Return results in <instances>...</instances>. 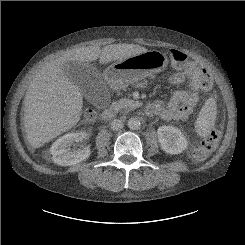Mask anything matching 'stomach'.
Returning a JSON list of instances; mask_svg holds the SVG:
<instances>
[{
    "mask_svg": "<svg viewBox=\"0 0 245 245\" xmlns=\"http://www.w3.org/2000/svg\"><path fill=\"white\" fill-rule=\"evenodd\" d=\"M167 65L168 59L162 52L149 50L113 63L105 70L104 79L111 88L119 90L163 71Z\"/></svg>",
    "mask_w": 245,
    "mask_h": 245,
    "instance_id": "stomach-1",
    "label": "stomach"
}]
</instances>
